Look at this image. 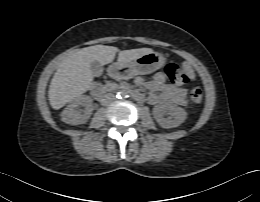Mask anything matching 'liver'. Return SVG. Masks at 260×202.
I'll return each mask as SVG.
<instances>
[{
	"instance_id": "1",
	"label": "liver",
	"mask_w": 260,
	"mask_h": 202,
	"mask_svg": "<svg viewBox=\"0 0 260 202\" xmlns=\"http://www.w3.org/2000/svg\"><path fill=\"white\" fill-rule=\"evenodd\" d=\"M118 51L117 47L95 45L82 48L62 61L49 86L48 97L51 107L58 110L85 93L94 78L90 70L92 61H98L101 65L109 64ZM151 52V48L119 51L118 62L128 63Z\"/></svg>"
}]
</instances>
